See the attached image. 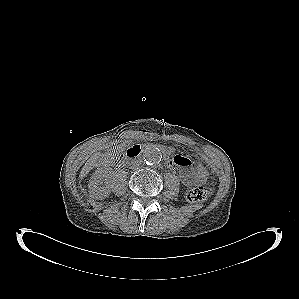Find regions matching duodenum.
Instances as JSON below:
<instances>
[{
  "label": "duodenum",
  "mask_w": 299,
  "mask_h": 299,
  "mask_svg": "<svg viewBox=\"0 0 299 299\" xmlns=\"http://www.w3.org/2000/svg\"><path fill=\"white\" fill-rule=\"evenodd\" d=\"M141 152H142V147L140 145H134L130 147L120 155V157L118 158V164L120 165L126 164L128 161L139 157ZM164 154H165L166 163L168 165H171L172 164L171 158L166 153Z\"/></svg>",
  "instance_id": "410a0bca"
}]
</instances>
